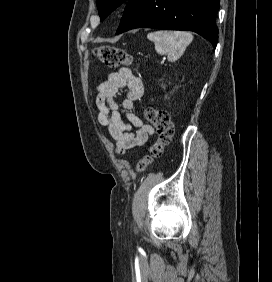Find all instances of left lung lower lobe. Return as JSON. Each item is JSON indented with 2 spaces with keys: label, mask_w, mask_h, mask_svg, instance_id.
<instances>
[{
  "label": "left lung lower lobe",
  "mask_w": 272,
  "mask_h": 282,
  "mask_svg": "<svg viewBox=\"0 0 272 282\" xmlns=\"http://www.w3.org/2000/svg\"><path fill=\"white\" fill-rule=\"evenodd\" d=\"M220 0H129L116 34L134 28L192 30L216 47Z\"/></svg>",
  "instance_id": "1"
}]
</instances>
